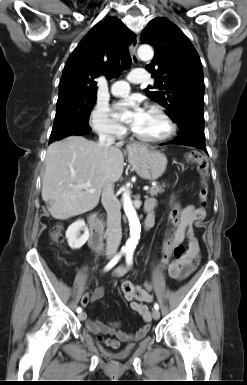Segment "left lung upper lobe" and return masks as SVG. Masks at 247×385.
Masks as SVG:
<instances>
[{"instance_id": "obj_1", "label": "left lung upper lobe", "mask_w": 247, "mask_h": 385, "mask_svg": "<svg viewBox=\"0 0 247 385\" xmlns=\"http://www.w3.org/2000/svg\"><path fill=\"white\" fill-rule=\"evenodd\" d=\"M141 41L155 50L146 69L155 77L154 88L159 91L145 89L147 96L165 107L177 124L185 118H203V69L190 40L167 18L157 17L146 26Z\"/></svg>"}]
</instances>
